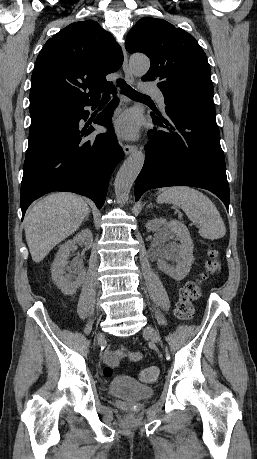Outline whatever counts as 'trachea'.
<instances>
[{
    "label": "trachea",
    "mask_w": 257,
    "mask_h": 459,
    "mask_svg": "<svg viewBox=\"0 0 257 459\" xmlns=\"http://www.w3.org/2000/svg\"><path fill=\"white\" fill-rule=\"evenodd\" d=\"M117 84L121 88V91L124 95L128 96L131 99H138V98H149V96L137 92L132 87H130L123 79H118ZM110 98L109 94H104L101 101L105 102L108 101Z\"/></svg>",
    "instance_id": "obj_1"
}]
</instances>
